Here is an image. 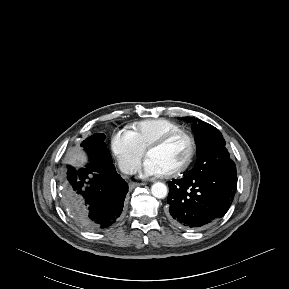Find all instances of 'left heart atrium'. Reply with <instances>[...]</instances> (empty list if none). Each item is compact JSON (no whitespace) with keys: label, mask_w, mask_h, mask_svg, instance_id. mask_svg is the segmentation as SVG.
Here are the masks:
<instances>
[{"label":"left heart atrium","mask_w":289,"mask_h":289,"mask_svg":"<svg viewBox=\"0 0 289 289\" xmlns=\"http://www.w3.org/2000/svg\"><path fill=\"white\" fill-rule=\"evenodd\" d=\"M139 172L143 177H159L165 174L161 167L150 158L145 159Z\"/></svg>","instance_id":"obj_1"}]
</instances>
